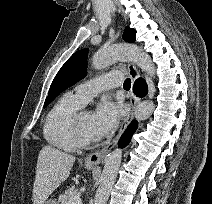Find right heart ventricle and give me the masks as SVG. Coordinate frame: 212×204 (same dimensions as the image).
Segmentation results:
<instances>
[{"label": "right heart ventricle", "instance_id": "right-heart-ventricle-1", "mask_svg": "<svg viewBox=\"0 0 212 204\" xmlns=\"http://www.w3.org/2000/svg\"><path fill=\"white\" fill-rule=\"evenodd\" d=\"M82 107L83 105L71 93L60 97L53 105L43 126L44 138L51 146L68 152L77 150L78 146L71 130V121Z\"/></svg>", "mask_w": 212, "mask_h": 204}]
</instances>
